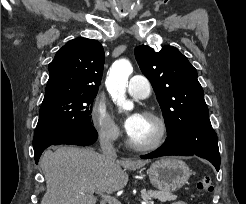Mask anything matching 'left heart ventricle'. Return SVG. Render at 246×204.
<instances>
[{"label":"left heart ventricle","instance_id":"left-heart-ventricle-1","mask_svg":"<svg viewBox=\"0 0 246 204\" xmlns=\"http://www.w3.org/2000/svg\"><path fill=\"white\" fill-rule=\"evenodd\" d=\"M157 132V123L150 118L142 116L136 130L129 136L133 141L145 144L151 142L156 137Z\"/></svg>","mask_w":246,"mask_h":204}]
</instances>
